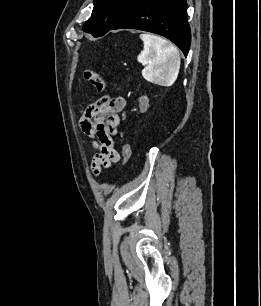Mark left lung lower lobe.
Here are the masks:
<instances>
[{"label": "left lung lower lobe", "instance_id": "0a47b994", "mask_svg": "<svg viewBox=\"0 0 261 306\" xmlns=\"http://www.w3.org/2000/svg\"><path fill=\"white\" fill-rule=\"evenodd\" d=\"M186 7V0H133L110 30L131 28L165 36L187 56L191 31Z\"/></svg>", "mask_w": 261, "mask_h": 306}]
</instances>
